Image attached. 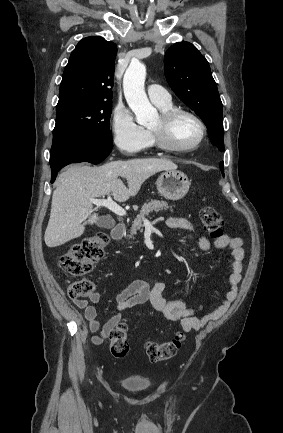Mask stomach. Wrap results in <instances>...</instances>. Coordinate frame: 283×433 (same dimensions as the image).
Here are the masks:
<instances>
[{
	"label": "stomach",
	"mask_w": 283,
	"mask_h": 433,
	"mask_svg": "<svg viewBox=\"0 0 283 433\" xmlns=\"http://www.w3.org/2000/svg\"><path fill=\"white\" fill-rule=\"evenodd\" d=\"M157 188L168 200H179L187 194L190 188V180L187 174L180 170H165L156 180Z\"/></svg>",
	"instance_id": "obj_1"
}]
</instances>
